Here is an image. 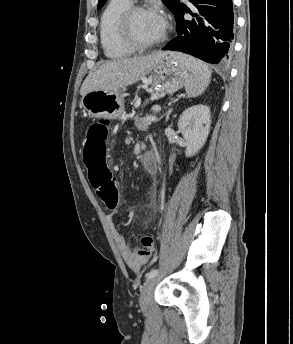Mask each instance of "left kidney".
<instances>
[{"mask_svg": "<svg viewBox=\"0 0 293 344\" xmlns=\"http://www.w3.org/2000/svg\"><path fill=\"white\" fill-rule=\"evenodd\" d=\"M210 109L198 104L187 108L178 120V129L186 140L185 155H195L205 144L210 131Z\"/></svg>", "mask_w": 293, "mask_h": 344, "instance_id": "obj_1", "label": "left kidney"}]
</instances>
